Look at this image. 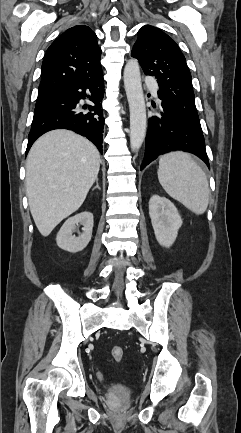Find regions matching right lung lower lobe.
<instances>
[{
	"mask_svg": "<svg viewBox=\"0 0 241 433\" xmlns=\"http://www.w3.org/2000/svg\"><path fill=\"white\" fill-rule=\"evenodd\" d=\"M90 95L86 94V91ZM104 96L103 74L84 82H73L60 87L35 107L26 153L42 134L53 129H69L87 137L102 153L104 118L101 102ZM88 97L94 106H79ZM89 109V112L82 109Z\"/></svg>",
	"mask_w": 241,
	"mask_h": 433,
	"instance_id": "1",
	"label": "right lung lower lobe"
}]
</instances>
